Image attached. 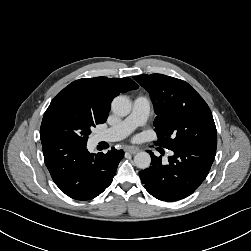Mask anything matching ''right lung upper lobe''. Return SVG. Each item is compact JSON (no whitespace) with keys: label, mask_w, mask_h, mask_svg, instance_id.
<instances>
[{"label":"right lung upper lobe","mask_w":251,"mask_h":251,"mask_svg":"<svg viewBox=\"0 0 251 251\" xmlns=\"http://www.w3.org/2000/svg\"><path fill=\"white\" fill-rule=\"evenodd\" d=\"M138 87L130 78H84L69 84L52 101L70 98L88 109L98 121L104 123L113 98Z\"/></svg>","instance_id":"obj_1"}]
</instances>
